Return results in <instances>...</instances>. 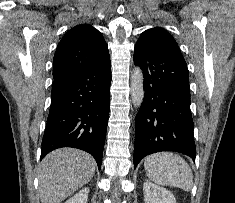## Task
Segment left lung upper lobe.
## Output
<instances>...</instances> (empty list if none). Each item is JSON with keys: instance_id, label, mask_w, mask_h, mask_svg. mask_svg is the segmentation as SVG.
<instances>
[{"instance_id": "obj_1", "label": "left lung upper lobe", "mask_w": 235, "mask_h": 203, "mask_svg": "<svg viewBox=\"0 0 235 203\" xmlns=\"http://www.w3.org/2000/svg\"><path fill=\"white\" fill-rule=\"evenodd\" d=\"M137 43H147L159 46L160 48L167 49L171 53L183 58L174 38L166 30L159 27L144 31L138 39Z\"/></svg>"}]
</instances>
